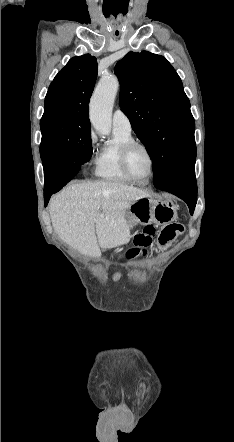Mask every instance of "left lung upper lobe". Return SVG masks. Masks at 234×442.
<instances>
[{"label":"left lung upper lobe","mask_w":234,"mask_h":442,"mask_svg":"<svg viewBox=\"0 0 234 442\" xmlns=\"http://www.w3.org/2000/svg\"><path fill=\"white\" fill-rule=\"evenodd\" d=\"M120 107L153 161L162 186L195 147V122L180 77L160 55L129 52L115 67Z\"/></svg>","instance_id":"obj_1"}]
</instances>
